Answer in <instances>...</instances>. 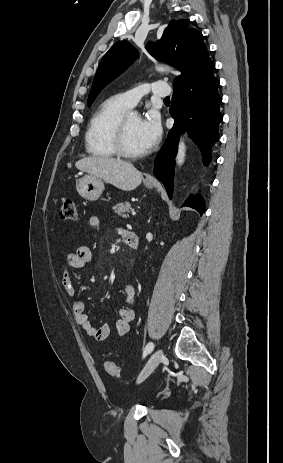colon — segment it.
Listing matches in <instances>:
<instances>
[{
  "label": "colon",
  "instance_id": "1",
  "mask_svg": "<svg viewBox=\"0 0 283 463\" xmlns=\"http://www.w3.org/2000/svg\"><path fill=\"white\" fill-rule=\"evenodd\" d=\"M59 217L62 220H77L78 219V210L76 203L72 199H64L60 209ZM105 371L111 376H118L120 369L118 365L111 360H107L104 364Z\"/></svg>",
  "mask_w": 283,
  "mask_h": 463
}]
</instances>
